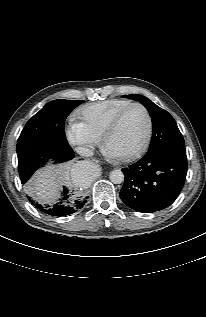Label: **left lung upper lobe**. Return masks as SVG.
I'll return each mask as SVG.
<instances>
[{"label":"left lung upper lobe","instance_id":"left-lung-upper-lobe-1","mask_svg":"<svg viewBox=\"0 0 206 317\" xmlns=\"http://www.w3.org/2000/svg\"><path fill=\"white\" fill-rule=\"evenodd\" d=\"M127 97L142 103L152 117L153 136L147 154L175 150L185 153V143L182 134L173 117L143 95L134 94Z\"/></svg>","mask_w":206,"mask_h":317}]
</instances>
